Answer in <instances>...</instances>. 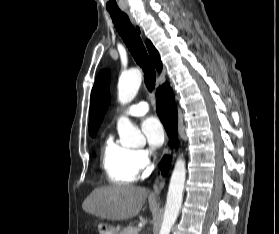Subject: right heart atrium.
I'll return each mask as SVG.
<instances>
[{
    "label": "right heart atrium",
    "mask_w": 279,
    "mask_h": 234,
    "mask_svg": "<svg viewBox=\"0 0 279 234\" xmlns=\"http://www.w3.org/2000/svg\"><path fill=\"white\" fill-rule=\"evenodd\" d=\"M136 162L139 170H146L151 164L150 153L147 150L139 149L135 151Z\"/></svg>",
    "instance_id": "1"
}]
</instances>
